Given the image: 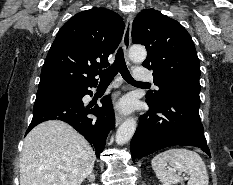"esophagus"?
Instances as JSON below:
<instances>
[{
	"label": "esophagus",
	"mask_w": 233,
	"mask_h": 185,
	"mask_svg": "<svg viewBox=\"0 0 233 185\" xmlns=\"http://www.w3.org/2000/svg\"><path fill=\"white\" fill-rule=\"evenodd\" d=\"M132 23H133V15L130 14L127 18L126 21V26H125V31H124V35H123V42H122V47H123V51L125 53V57H126V62L129 65V59L127 57V53L131 44V30H132ZM124 120V117L120 114L116 115V126H118L119 124H121Z\"/></svg>",
	"instance_id": "34e87169"
}]
</instances>
